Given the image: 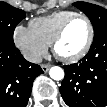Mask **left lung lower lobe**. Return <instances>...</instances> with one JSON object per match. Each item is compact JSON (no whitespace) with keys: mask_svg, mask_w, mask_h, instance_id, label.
<instances>
[{"mask_svg":"<svg viewBox=\"0 0 107 107\" xmlns=\"http://www.w3.org/2000/svg\"><path fill=\"white\" fill-rule=\"evenodd\" d=\"M60 92L70 107L107 105V32L94 37L88 54L77 64L64 66Z\"/></svg>","mask_w":107,"mask_h":107,"instance_id":"left-lung-lower-lobe-1","label":"left lung lower lobe"}]
</instances>
